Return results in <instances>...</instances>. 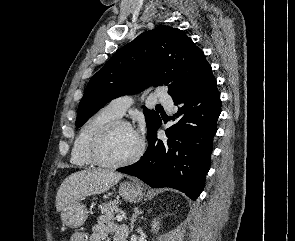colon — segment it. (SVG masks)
<instances>
[{"label":"colon","instance_id":"obj_1","mask_svg":"<svg viewBox=\"0 0 295 241\" xmlns=\"http://www.w3.org/2000/svg\"><path fill=\"white\" fill-rule=\"evenodd\" d=\"M71 241H87L85 233H77L72 238Z\"/></svg>","mask_w":295,"mask_h":241}]
</instances>
